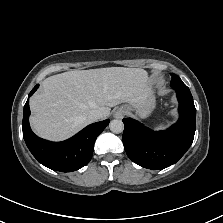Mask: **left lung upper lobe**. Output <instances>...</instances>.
Here are the masks:
<instances>
[{"label":"left lung upper lobe","mask_w":223,"mask_h":223,"mask_svg":"<svg viewBox=\"0 0 223 223\" xmlns=\"http://www.w3.org/2000/svg\"><path fill=\"white\" fill-rule=\"evenodd\" d=\"M171 85L173 86H184L185 84L182 82V80L175 74H171Z\"/></svg>","instance_id":"1"}]
</instances>
